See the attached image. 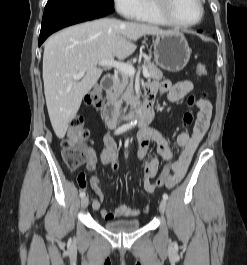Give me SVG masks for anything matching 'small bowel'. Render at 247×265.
Returning <instances> with one entry per match:
<instances>
[{
	"label": "small bowel",
	"mask_w": 247,
	"mask_h": 265,
	"mask_svg": "<svg viewBox=\"0 0 247 265\" xmlns=\"http://www.w3.org/2000/svg\"><path fill=\"white\" fill-rule=\"evenodd\" d=\"M193 88V83L189 80L177 83L163 80L149 84L148 91L153 95L157 92L166 94L167 102H176L186 97L192 92ZM188 105L198 109V113L192 133L189 134L184 132L177 136V144L182 148L178 158L173 157L168 141L156 129L145 127L139 132L136 156L138 160L144 161L142 188L148 193H153L156 190L152 179L157 175L159 167L158 160L154 157H150L148 154L150 145L152 143L155 144L157 153L164 161L174 158L173 175L166 182V187L172 188L184 177L199 143L209 128L212 116L211 103L207 99L195 98L192 96L188 99ZM99 162L109 165L114 171L118 169L117 145L110 135L104 137L102 151L99 156H97L92 149H87V170L95 171ZM78 182L81 188L85 189L87 187V182L83 175L78 177ZM90 186L97 196L92 198V208L94 210H100L99 213L102 219L112 220L118 217H134L142 212L124 204L118 205L113 211L100 209L103 199V187L100 179L97 176H93L90 179ZM146 210H148V206H146L143 211Z\"/></svg>",
	"instance_id": "1"
}]
</instances>
